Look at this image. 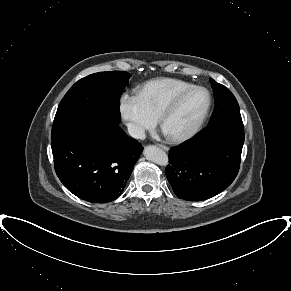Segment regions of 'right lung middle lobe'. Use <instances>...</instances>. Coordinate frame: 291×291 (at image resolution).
Returning <instances> with one entry per match:
<instances>
[{
  "label": "right lung middle lobe",
  "mask_w": 291,
  "mask_h": 291,
  "mask_svg": "<svg viewBox=\"0 0 291 291\" xmlns=\"http://www.w3.org/2000/svg\"><path fill=\"white\" fill-rule=\"evenodd\" d=\"M129 78L126 71H109L94 73L77 81L58 106L51 140L84 124H119L120 96Z\"/></svg>",
  "instance_id": "1"
}]
</instances>
